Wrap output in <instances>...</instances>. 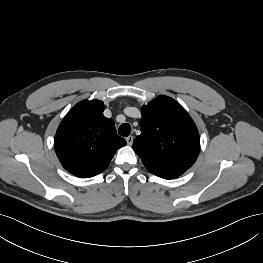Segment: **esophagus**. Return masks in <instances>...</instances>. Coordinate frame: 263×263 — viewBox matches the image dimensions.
<instances>
[{
    "mask_svg": "<svg viewBox=\"0 0 263 263\" xmlns=\"http://www.w3.org/2000/svg\"><path fill=\"white\" fill-rule=\"evenodd\" d=\"M133 140H134V137L132 135L128 136L126 138V142L129 146H131L133 144Z\"/></svg>",
    "mask_w": 263,
    "mask_h": 263,
    "instance_id": "34e87169",
    "label": "esophagus"
}]
</instances>
